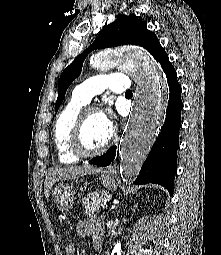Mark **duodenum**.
<instances>
[{
	"label": "duodenum",
	"mask_w": 221,
	"mask_h": 255,
	"mask_svg": "<svg viewBox=\"0 0 221 255\" xmlns=\"http://www.w3.org/2000/svg\"><path fill=\"white\" fill-rule=\"evenodd\" d=\"M93 244H94L95 252L100 253L102 251V248H103V239L96 237L93 240Z\"/></svg>",
	"instance_id": "duodenum-1"
}]
</instances>
